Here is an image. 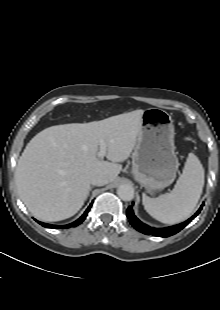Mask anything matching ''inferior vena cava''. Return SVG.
I'll use <instances>...</instances> for the list:
<instances>
[{"label":"inferior vena cava","instance_id":"1","mask_svg":"<svg viewBox=\"0 0 220 310\" xmlns=\"http://www.w3.org/2000/svg\"><path fill=\"white\" fill-rule=\"evenodd\" d=\"M109 182L108 177L103 174H97L92 176L91 184L95 186H103Z\"/></svg>","mask_w":220,"mask_h":310}]
</instances>
